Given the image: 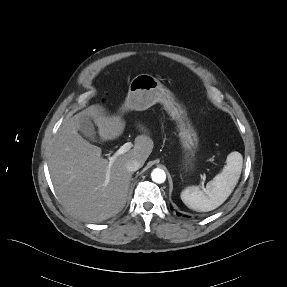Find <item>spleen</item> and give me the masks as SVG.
<instances>
[{
  "label": "spleen",
  "instance_id": "obj_1",
  "mask_svg": "<svg viewBox=\"0 0 287 287\" xmlns=\"http://www.w3.org/2000/svg\"><path fill=\"white\" fill-rule=\"evenodd\" d=\"M242 165V155L236 151L231 152L227 156L223 170L207 183L203 191L195 186L182 191L183 203L197 212H208L216 209L225 202L237 185Z\"/></svg>",
  "mask_w": 287,
  "mask_h": 287
}]
</instances>
